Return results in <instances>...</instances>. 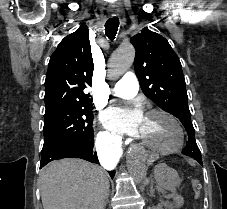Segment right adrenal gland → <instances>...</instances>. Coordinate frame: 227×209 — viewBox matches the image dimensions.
Listing matches in <instances>:
<instances>
[{
    "label": "right adrenal gland",
    "instance_id": "2a0ac1e0",
    "mask_svg": "<svg viewBox=\"0 0 227 209\" xmlns=\"http://www.w3.org/2000/svg\"><path fill=\"white\" fill-rule=\"evenodd\" d=\"M108 197H109V195H107V197H106V199H105V201H104V209H106V205H107V203H108V201H109Z\"/></svg>",
    "mask_w": 227,
    "mask_h": 209
}]
</instances>
